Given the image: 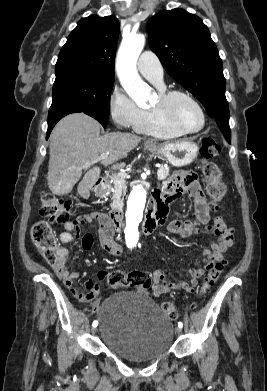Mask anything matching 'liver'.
Returning a JSON list of instances; mask_svg holds the SVG:
<instances>
[{
    "label": "liver",
    "instance_id": "liver-1",
    "mask_svg": "<svg viewBox=\"0 0 267 391\" xmlns=\"http://www.w3.org/2000/svg\"><path fill=\"white\" fill-rule=\"evenodd\" d=\"M141 140L139 136L121 132L101 136L100 124L92 117L84 113L67 115L57 123L50 135L49 189L56 195L71 192L87 163L101 154L109 153L101 160L103 165L113 164V169L124 168L125 163L117 161L127 157ZM99 176V167L86 172L78 184V193L83 198H89L90 189Z\"/></svg>",
    "mask_w": 267,
    "mask_h": 391
}]
</instances>
